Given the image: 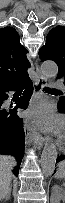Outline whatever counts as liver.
<instances>
[{
    "label": "liver",
    "mask_w": 65,
    "mask_h": 203,
    "mask_svg": "<svg viewBox=\"0 0 65 203\" xmlns=\"http://www.w3.org/2000/svg\"><path fill=\"white\" fill-rule=\"evenodd\" d=\"M16 161L13 157L0 155V199H4L11 192L12 173Z\"/></svg>",
    "instance_id": "obj_1"
}]
</instances>
